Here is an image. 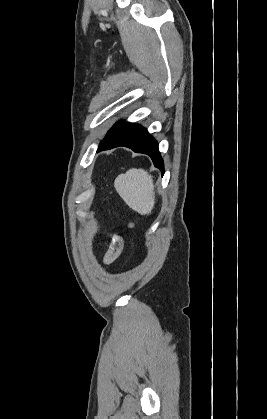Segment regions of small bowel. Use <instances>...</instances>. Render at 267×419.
<instances>
[{"mask_svg": "<svg viewBox=\"0 0 267 419\" xmlns=\"http://www.w3.org/2000/svg\"><path fill=\"white\" fill-rule=\"evenodd\" d=\"M122 248V239L115 237L104 255L103 262L107 265L112 264L120 256Z\"/></svg>", "mask_w": 267, "mask_h": 419, "instance_id": "c3829d8e", "label": "small bowel"}]
</instances>
